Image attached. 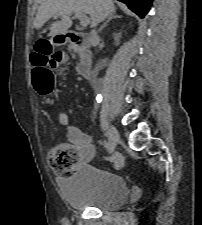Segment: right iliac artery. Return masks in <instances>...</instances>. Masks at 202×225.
Returning <instances> with one entry per match:
<instances>
[{
  "label": "right iliac artery",
  "instance_id": "1",
  "mask_svg": "<svg viewBox=\"0 0 202 225\" xmlns=\"http://www.w3.org/2000/svg\"><path fill=\"white\" fill-rule=\"evenodd\" d=\"M106 144H107V148H108L109 153H112L113 150H114V147L111 146L110 142H107Z\"/></svg>",
  "mask_w": 202,
  "mask_h": 225
}]
</instances>
